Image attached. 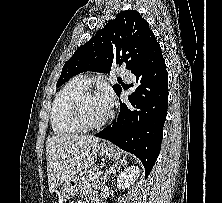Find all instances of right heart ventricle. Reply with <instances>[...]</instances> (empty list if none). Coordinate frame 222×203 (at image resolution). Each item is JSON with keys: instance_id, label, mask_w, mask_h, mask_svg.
I'll use <instances>...</instances> for the list:
<instances>
[{"instance_id": "e07e8e85", "label": "right heart ventricle", "mask_w": 222, "mask_h": 203, "mask_svg": "<svg viewBox=\"0 0 222 203\" xmlns=\"http://www.w3.org/2000/svg\"><path fill=\"white\" fill-rule=\"evenodd\" d=\"M86 91L74 80L68 82L57 94L52 110L51 124L58 135H76L82 132L74 117V104L77 98Z\"/></svg>"}]
</instances>
